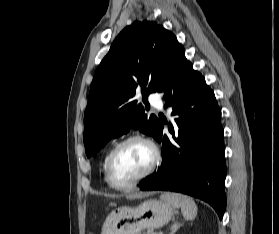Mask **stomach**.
<instances>
[{"instance_id":"stomach-1","label":"stomach","mask_w":279,"mask_h":234,"mask_svg":"<svg viewBox=\"0 0 279 234\" xmlns=\"http://www.w3.org/2000/svg\"><path fill=\"white\" fill-rule=\"evenodd\" d=\"M174 207L162 200H148L139 206L121 207L106 218L101 234H141L163 227L173 217Z\"/></svg>"}]
</instances>
